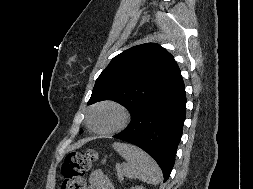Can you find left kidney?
I'll list each match as a JSON object with an SVG mask.
<instances>
[{"label":"left kidney","mask_w":253,"mask_h":189,"mask_svg":"<svg viewBox=\"0 0 253 189\" xmlns=\"http://www.w3.org/2000/svg\"><path fill=\"white\" fill-rule=\"evenodd\" d=\"M131 189H145L142 186H136V187H132Z\"/></svg>","instance_id":"5707ae66"}]
</instances>
